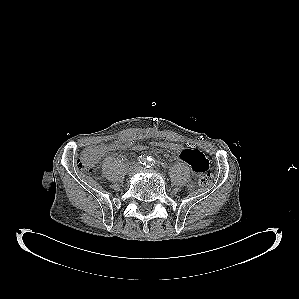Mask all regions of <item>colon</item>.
Masks as SVG:
<instances>
[{
    "mask_svg": "<svg viewBox=\"0 0 299 299\" xmlns=\"http://www.w3.org/2000/svg\"><path fill=\"white\" fill-rule=\"evenodd\" d=\"M150 148L168 149L177 152L180 149V145L166 141H152L148 143H137L128 147L122 140H118L109 144L93 146L85 149L77 161V166L83 171L93 172L96 170L97 163L104 153L125 150H133L138 152ZM212 181L213 177L209 173L203 174L199 178V184L201 186H208L212 183Z\"/></svg>",
    "mask_w": 299,
    "mask_h": 299,
    "instance_id": "1",
    "label": "colon"
}]
</instances>
